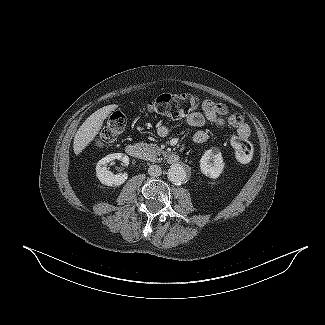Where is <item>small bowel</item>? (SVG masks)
<instances>
[{
  "label": "small bowel",
  "instance_id": "small-bowel-1",
  "mask_svg": "<svg viewBox=\"0 0 325 325\" xmlns=\"http://www.w3.org/2000/svg\"><path fill=\"white\" fill-rule=\"evenodd\" d=\"M213 123L218 126H228L236 131V135L244 140H248L251 134L248 124L240 113L231 112L227 105L217 103L210 99L202 102V112H195L186 118V123L191 127L200 128L206 123ZM158 135L165 137L169 133L168 127L161 125L157 129ZM193 141L201 144L207 141L208 134L206 131L199 129L193 134Z\"/></svg>",
  "mask_w": 325,
  "mask_h": 325
}]
</instances>
